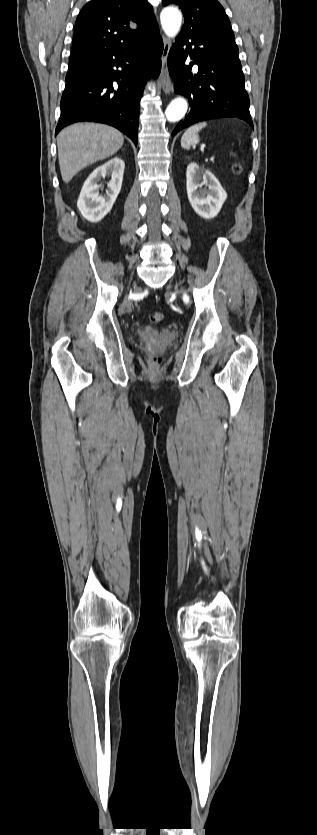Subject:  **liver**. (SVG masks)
Here are the masks:
<instances>
[{"label":"liver","mask_w":317,"mask_h":835,"mask_svg":"<svg viewBox=\"0 0 317 835\" xmlns=\"http://www.w3.org/2000/svg\"><path fill=\"white\" fill-rule=\"evenodd\" d=\"M123 143V134L108 125L80 123L65 128L57 138L63 181L70 182L84 167L114 155Z\"/></svg>","instance_id":"obj_1"}]
</instances>
